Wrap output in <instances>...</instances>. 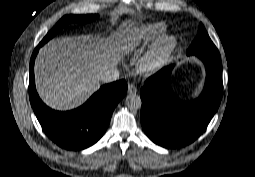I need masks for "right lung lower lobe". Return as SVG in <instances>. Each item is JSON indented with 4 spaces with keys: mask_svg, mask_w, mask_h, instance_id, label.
<instances>
[{
    "mask_svg": "<svg viewBox=\"0 0 255 177\" xmlns=\"http://www.w3.org/2000/svg\"><path fill=\"white\" fill-rule=\"evenodd\" d=\"M41 46L30 60L29 97L44 132L57 145L69 150L87 148L96 143L108 127L112 112L127 92L124 80L104 85L81 107L59 112L47 107L39 98L34 82V61Z\"/></svg>",
    "mask_w": 255,
    "mask_h": 177,
    "instance_id": "98d812e1",
    "label": "right lung lower lobe"
}]
</instances>
